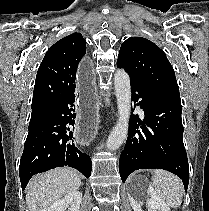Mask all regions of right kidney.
<instances>
[{
	"instance_id": "obj_1",
	"label": "right kidney",
	"mask_w": 209,
	"mask_h": 211,
	"mask_svg": "<svg viewBox=\"0 0 209 211\" xmlns=\"http://www.w3.org/2000/svg\"><path fill=\"white\" fill-rule=\"evenodd\" d=\"M82 201V193L79 191H73L66 194L62 199L57 200L51 204L46 211H79Z\"/></svg>"
}]
</instances>
